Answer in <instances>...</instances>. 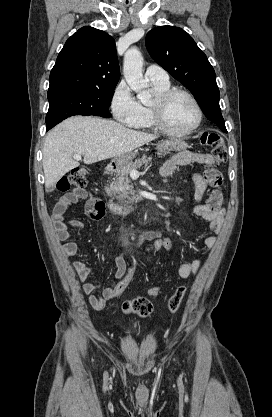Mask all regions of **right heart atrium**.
Instances as JSON below:
<instances>
[{
	"instance_id": "d8ad5b80",
	"label": "right heart atrium",
	"mask_w": 272,
	"mask_h": 417,
	"mask_svg": "<svg viewBox=\"0 0 272 417\" xmlns=\"http://www.w3.org/2000/svg\"><path fill=\"white\" fill-rule=\"evenodd\" d=\"M110 108L114 118L128 126L137 121L141 111L140 103L125 81H121L115 87L110 100Z\"/></svg>"
}]
</instances>
